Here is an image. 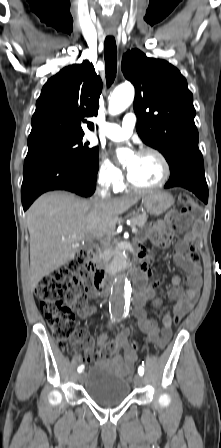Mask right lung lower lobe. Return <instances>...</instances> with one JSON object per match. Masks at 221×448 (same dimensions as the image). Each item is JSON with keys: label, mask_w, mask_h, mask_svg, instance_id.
Returning <instances> with one entry per match:
<instances>
[{"label": "right lung lower lobe", "mask_w": 221, "mask_h": 448, "mask_svg": "<svg viewBox=\"0 0 221 448\" xmlns=\"http://www.w3.org/2000/svg\"><path fill=\"white\" fill-rule=\"evenodd\" d=\"M98 162L85 166L55 155L26 156L21 198L24 211L42 193L67 190L88 197L95 191Z\"/></svg>", "instance_id": "obj_1"}]
</instances>
